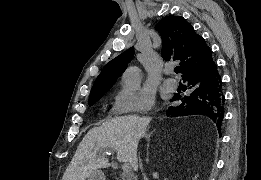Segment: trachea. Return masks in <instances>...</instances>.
Here are the masks:
<instances>
[{"label":"trachea","mask_w":261,"mask_h":180,"mask_svg":"<svg viewBox=\"0 0 261 180\" xmlns=\"http://www.w3.org/2000/svg\"><path fill=\"white\" fill-rule=\"evenodd\" d=\"M174 71H175V73H178V72H179V67H176V68L174 69Z\"/></svg>","instance_id":"obj_1"}]
</instances>
